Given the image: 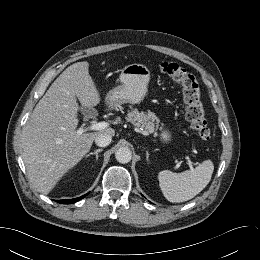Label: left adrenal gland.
I'll return each instance as SVG.
<instances>
[{"label": "left adrenal gland", "instance_id": "left-adrenal-gland-1", "mask_svg": "<svg viewBox=\"0 0 260 260\" xmlns=\"http://www.w3.org/2000/svg\"><path fill=\"white\" fill-rule=\"evenodd\" d=\"M146 159H147V161L149 160V153H148V151L146 152Z\"/></svg>", "mask_w": 260, "mask_h": 260}]
</instances>
